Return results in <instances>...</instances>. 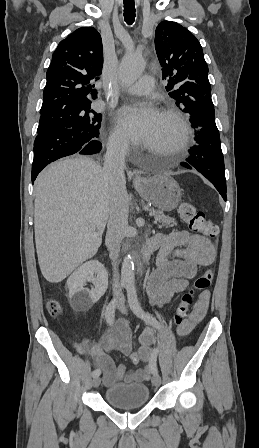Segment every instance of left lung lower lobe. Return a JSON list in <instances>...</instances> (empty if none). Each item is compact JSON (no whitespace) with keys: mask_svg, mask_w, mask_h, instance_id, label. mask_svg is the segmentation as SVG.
<instances>
[{"mask_svg":"<svg viewBox=\"0 0 259 448\" xmlns=\"http://www.w3.org/2000/svg\"><path fill=\"white\" fill-rule=\"evenodd\" d=\"M196 145L190 148V156L181 165L195 168L203 174L219 191L226 201V179L224 158L217 127H203L196 130Z\"/></svg>","mask_w":259,"mask_h":448,"instance_id":"1","label":"left lung lower lobe"}]
</instances>
